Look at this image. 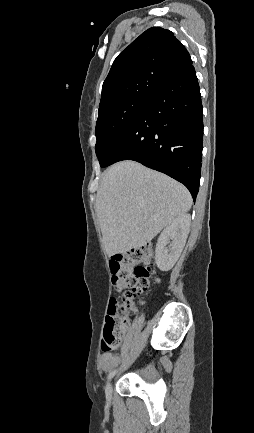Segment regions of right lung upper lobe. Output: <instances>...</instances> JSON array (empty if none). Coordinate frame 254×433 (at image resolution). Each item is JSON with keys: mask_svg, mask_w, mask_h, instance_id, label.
<instances>
[{"mask_svg": "<svg viewBox=\"0 0 254 433\" xmlns=\"http://www.w3.org/2000/svg\"><path fill=\"white\" fill-rule=\"evenodd\" d=\"M191 63L188 51L171 31L149 28L113 62L102 86L99 109L126 99H150Z\"/></svg>", "mask_w": 254, "mask_h": 433, "instance_id": "cb5924a9", "label": "right lung upper lobe"}]
</instances>
